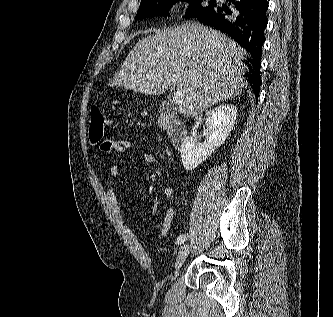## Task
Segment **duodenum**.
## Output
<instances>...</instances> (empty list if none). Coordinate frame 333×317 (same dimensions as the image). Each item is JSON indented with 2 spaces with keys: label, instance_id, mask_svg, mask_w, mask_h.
<instances>
[{
  "label": "duodenum",
  "instance_id": "410a0bca",
  "mask_svg": "<svg viewBox=\"0 0 333 317\" xmlns=\"http://www.w3.org/2000/svg\"><path fill=\"white\" fill-rule=\"evenodd\" d=\"M159 115L172 146L180 149L184 145L187 132L185 126L174 116L173 106L167 102L161 103Z\"/></svg>",
  "mask_w": 333,
  "mask_h": 317
}]
</instances>
